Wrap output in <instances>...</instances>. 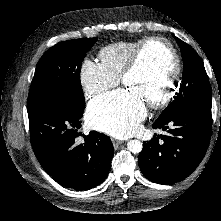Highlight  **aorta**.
Returning a JSON list of instances; mask_svg holds the SVG:
<instances>
[{"mask_svg": "<svg viewBox=\"0 0 221 221\" xmlns=\"http://www.w3.org/2000/svg\"><path fill=\"white\" fill-rule=\"evenodd\" d=\"M127 148L132 153H140L142 151L143 145L140 140H130L127 144Z\"/></svg>", "mask_w": 221, "mask_h": 221, "instance_id": "1", "label": "aorta"}]
</instances>
